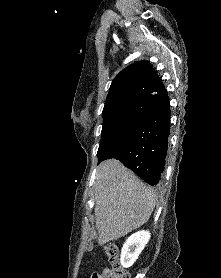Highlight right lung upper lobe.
<instances>
[{
    "label": "right lung upper lobe",
    "mask_w": 221,
    "mask_h": 278,
    "mask_svg": "<svg viewBox=\"0 0 221 278\" xmlns=\"http://www.w3.org/2000/svg\"><path fill=\"white\" fill-rule=\"evenodd\" d=\"M166 89L151 65L146 61L136 62L123 69L112 81L103 114L118 107L147 101Z\"/></svg>",
    "instance_id": "1"
}]
</instances>
